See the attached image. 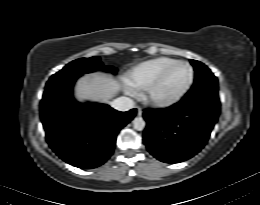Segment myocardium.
<instances>
[{
	"label": "myocardium",
	"instance_id": "obj_1",
	"mask_svg": "<svg viewBox=\"0 0 260 205\" xmlns=\"http://www.w3.org/2000/svg\"><path fill=\"white\" fill-rule=\"evenodd\" d=\"M179 64H184L186 65L189 69H190V80L188 82V84L184 87V89L182 91H180L178 94H176L173 97L167 98V99H162V98H157L154 95V92L156 90V88L158 87V85L163 81V79L165 78V76L167 75V73L176 65ZM195 81V71L193 66L184 60H177L173 63H171L170 65H168L166 68H164L157 76L156 78L145 88V92L143 94V99L158 108H168L171 106H174L175 104H177L178 102H180L185 96L186 94L190 91V89L192 88L193 84Z\"/></svg>",
	"mask_w": 260,
	"mask_h": 205
}]
</instances>
